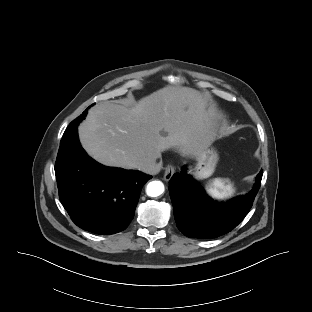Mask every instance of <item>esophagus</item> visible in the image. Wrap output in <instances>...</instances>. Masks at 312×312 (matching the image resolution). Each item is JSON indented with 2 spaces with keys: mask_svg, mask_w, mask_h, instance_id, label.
I'll use <instances>...</instances> for the list:
<instances>
[{
  "mask_svg": "<svg viewBox=\"0 0 312 312\" xmlns=\"http://www.w3.org/2000/svg\"><path fill=\"white\" fill-rule=\"evenodd\" d=\"M175 169L172 165H167L164 171V180L169 181L173 176Z\"/></svg>",
  "mask_w": 312,
  "mask_h": 312,
  "instance_id": "obj_1",
  "label": "esophagus"
}]
</instances>
